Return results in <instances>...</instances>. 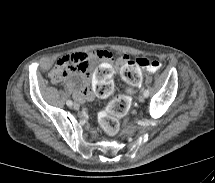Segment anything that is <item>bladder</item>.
Masks as SVG:
<instances>
[{"label":"bladder","instance_id":"bladder-1","mask_svg":"<svg viewBox=\"0 0 215 183\" xmlns=\"http://www.w3.org/2000/svg\"><path fill=\"white\" fill-rule=\"evenodd\" d=\"M98 61L94 58H91L90 61L88 62V68L93 69L97 66Z\"/></svg>","mask_w":215,"mask_h":183}]
</instances>
